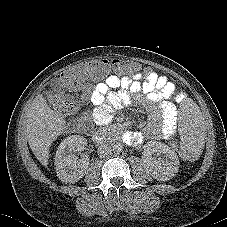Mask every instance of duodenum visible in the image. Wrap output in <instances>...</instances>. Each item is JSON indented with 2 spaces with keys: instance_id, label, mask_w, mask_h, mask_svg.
Instances as JSON below:
<instances>
[{
  "instance_id": "1",
  "label": "duodenum",
  "mask_w": 227,
  "mask_h": 227,
  "mask_svg": "<svg viewBox=\"0 0 227 227\" xmlns=\"http://www.w3.org/2000/svg\"><path fill=\"white\" fill-rule=\"evenodd\" d=\"M92 137H93V140L97 143L105 142L111 138L110 134H108L107 132H102V131L94 132Z\"/></svg>"
}]
</instances>
